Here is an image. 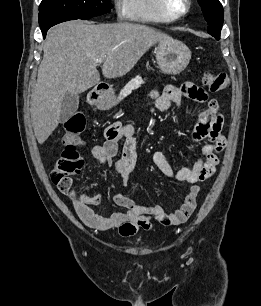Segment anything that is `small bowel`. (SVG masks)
I'll return each mask as SVG.
<instances>
[{
	"instance_id": "obj_1",
	"label": "small bowel",
	"mask_w": 261,
	"mask_h": 306,
	"mask_svg": "<svg viewBox=\"0 0 261 306\" xmlns=\"http://www.w3.org/2000/svg\"><path fill=\"white\" fill-rule=\"evenodd\" d=\"M152 96L158 110L163 112L171 110L174 106H180L183 97L204 104L192 134L194 141L204 143L201 157L193 165L175 171L163 152L156 151L153 154L154 164L165 176L186 182L191 187L180 207L173 213H166L160 205L137 204L133 199L121 194L114 197V202L125 211L109 216L95 212L89 206L91 202L74 201L77 215L90 228L100 231L117 229L121 236L130 237L140 229L150 230L153 227L152 220L163 226L180 225L187 221L196 208V199L200 191L198 183L212 176L216 169L219 162L218 153L226 143V138L221 132L223 117L218 103L211 99L203 88L193 83H186L180 88L167 87L162 92H153ZM120 141H123L121 155L115 160ZM80 143L79 140L78 144ZM91 154L100 163L113 165L116 172L125 180L134 169L137 158V137L134 128L120 122L110 124L105 129V142L93 146Z\"/></svg>"
}]
</instances>
